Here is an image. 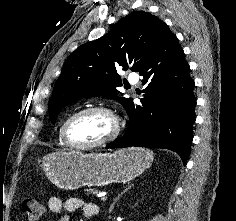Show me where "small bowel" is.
I'll list each match as a JSON object with an SVG mask.
<instances>
[{"label": "small bowel", "mask_w": 236, "mask_h": 221, "mask_svg": "<svg viewBox=\"0 0 236 221\" xmlns=\"http://www.w3.org/2000/svg\"><path fill=\"white\" fill-rule=\"evenodd\" d=\"M48 208L53 213L61 214L58 221H69L68 214L78 210H82L83 215L87 218L94 217L99 213L97 204L84 201L79 197L62 199L53 196L48 201Z\"/></svg>", "instance_id": "small-bowel-1"}]
</instances>
